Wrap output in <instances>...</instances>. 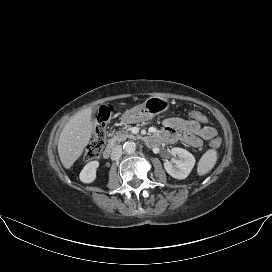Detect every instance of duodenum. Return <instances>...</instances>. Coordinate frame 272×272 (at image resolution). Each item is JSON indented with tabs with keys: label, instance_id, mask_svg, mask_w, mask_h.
I'll list each match as a JSON object with an SVG mask.
<instances>
[{
	"label": "duodenum",
	"instance_id": "duodenum-1",
	"mask_svg": "<svg viewBox=\"0 0 272 272\" xmlns=\"http://www.w3.org/2000/svg\"><path fill=\"white\" fill-rule=\"evenodd\" d=\"M146 140H147L148 143L154 144V143H156L158 141L157 135L156 134L150 135V136L147 137ZM114 147H115V142H111L108 145V147L105 149V151L103 153V156L105 158H108L110 156L111 152L113 151Z\"/></svg>",
	"mask_w": 272,
	"mask_h": 272
}]
</instances>
